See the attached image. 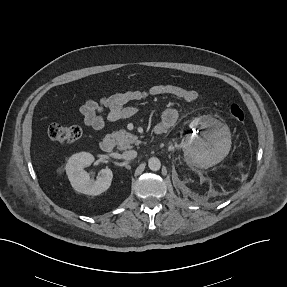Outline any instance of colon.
Instances as JSON below:
<instances>
[{"label": "colon", "instance_id": "5ec220e1", "mask_svg": "<svg viewBox=\"0 0 287 287\" xmlns=\"http://www.w3.org/2000/svg\"><path fill=\"white\" fill-rule=\"evenodd\" d=\"M229 114L238 122L245 120V111L238 103H232L229 106ZM48 136L51 140L61 144H72L81 137V128L77 125L64 126L52 124L48 128Z\"/></svg>", "mask_w": 287, "mask_h": 287}]
</instances>
